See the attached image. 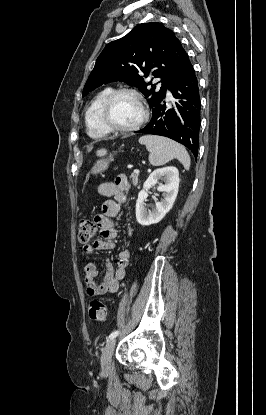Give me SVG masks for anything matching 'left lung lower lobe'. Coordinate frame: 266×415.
Returning a JSON list of instances; mask_svg holds the SVG:
<instances>
[{"instance_id":"obj_1","label":"left lung lower lobe","mask_w":266,"mask_h":415,"mask_svg":"<svg viewBox=\"0 0 266 415\" xmlns=\"http://www.w3.org/2000/svg\"><path fill=\"white\" fill-rule=\"evenodd\" d=\"M169 90L174 98L172 107L165 104L155 107L151 121L137 133L171 138L197 157L201 103L198 80L189 58Z\"/></svg>"}]
</instances>
